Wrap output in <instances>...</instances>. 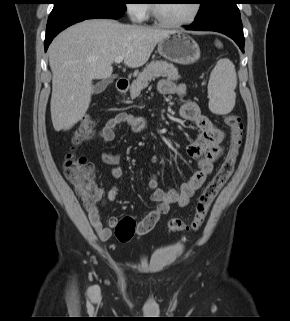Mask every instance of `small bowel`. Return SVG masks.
I'll use <instances>...</instances> for the list:
<instances>
[{"label":"small bowel","mask_w":290,"mask_h":321,"mask_svg":"<svg viewBox=\"0 0 290 321\" xmlns=\"http://www.w3.org/2000/svg\"><path fill=\"white\" fill-rule=\"evenodd\" d=\"M187 87L185 84H175L170 79L162 80L159 83V92L165 96L177 95L184 96ZM180 115L187 121L194 124L197 135L195 139L187 146V154L196 160L198 165L197 172L186 182L181 184L178 189L164 191L159 187V180L156 175L148 179V187L151 190V200L156 203V207L151 210L137 225V233L145 234L149 232L159 221L162 215L166 214L173 204L185 206L195 191L200 188L208 176L212 173L214 162L223 154L224 132L217 128L211 120L201 113L196 102L187 100L180 108ZM120 125H126L136 133H141L146 126L143 118L130 113L121 112L111 117L98 132L97 137L105 143H110L115 138V130ZM102 161L111 165V177L118 181L123 170L118 165L120 157L117 154H111L103 151L101 153ZM119 195V185L114 183L107 192L101 189L103 202L115 201ZM89 221L101 240H108L112 235V229L117 224V219L111 217L108 224L105 225L101 219L98 207L86 208Z\"/></svg>","instance_id":"small-bowel-1"}]
</instances>
